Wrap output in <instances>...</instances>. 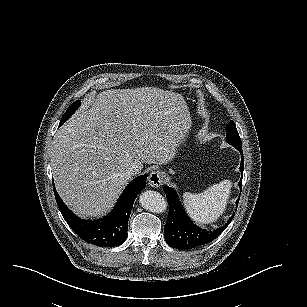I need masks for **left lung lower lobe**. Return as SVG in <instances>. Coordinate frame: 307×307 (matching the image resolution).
<instances>
[{
  "mask_svg": "<svg viewBox=\"0 0 307 307\" xmlns=\"http://www.w3.org/2000/svg\"><path fill=\"white\" fill-rule=\"evenodd\" d=\"M238 150L241 153L240 171L243 176V151L242 149ZM239 186L241 189L242 177L239 182ZM163 189L166 193V198L168 200L170 208L168 219L164 226L165 241L173 248L188 250L198 248L212 242L227 228L230 221L234 217V215H232V217L229 219L225 226L220 227L216 230H201L200 228L195 226L186 215L182 205L179 202L177 193L172 188H169L167 186H165ZM238 202L239 198L237 199L236 204H238Z\"/></svg>",
  "mask_w": 307,
  "mask_h": 307,
  "instance_id": "0a47b994",
  "label": "left lung lower lobe"
}]
</instances>
